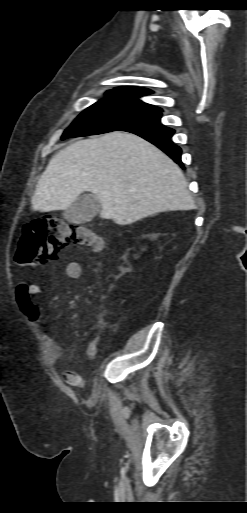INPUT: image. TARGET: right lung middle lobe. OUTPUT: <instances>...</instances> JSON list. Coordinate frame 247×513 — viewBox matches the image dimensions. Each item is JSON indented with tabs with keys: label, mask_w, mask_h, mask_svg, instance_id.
<instances>
[{
	"label": "right lung middle lobe",
	"mask_w": 247,
	"mask_h": 513,
	"mask_svg": "<svg viewBox=\"0 0 247 513\" xmlns=\"http://www.w3.org/2000/svg\"><path fill=\"white\" fill-rule=\"evenodd\" d=\"M108 96L83 111L67 128L61 139L101 134L161 116V109L136 99L127 92L108 91Z\"/></svg>",
	"instance_id": "obj_1"
}]
</instances>
